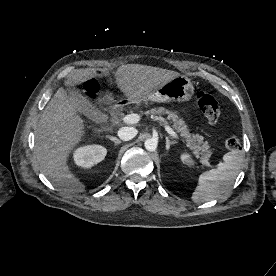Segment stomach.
<instances>
[{"label":"stomach","mask_w":276,"mask_h":276,"mask_svg":"<svg viewBox=\"0 0 276 276\" xmlns=\"http://www.w3.org/2000/svg\"><path fill=\"white\" fill-rule=\"evenodd\" d=\"M193 94L194 87L191 80L184 75H179L153 88L148 94L127 98V101L137 105L148 100L154 102H186L192 98Z\"/></svg>","instance_id":"0dacf381"}]
</instances>
